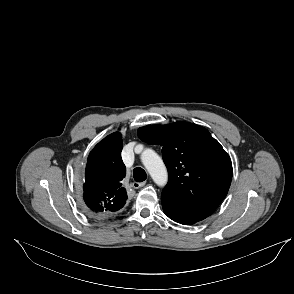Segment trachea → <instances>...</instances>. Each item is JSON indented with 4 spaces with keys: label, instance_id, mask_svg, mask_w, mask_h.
<instances>
[{
    "label": "trachea",
    "instance_id": "3493384b",
    "mask_svg": "<svg viewBox=\"0 0 294 294\" xmlns=\"http://www.w3.org/2000/svg\"><path fill=\"white\" fill-rule=\"evenodd\" d=\"M133 177L136 182H143L147 178V174L141 167H136L133 170Z\"/></svg>",
    "mask_w": 294,
    "mask_h": 294
}]
</instances>
